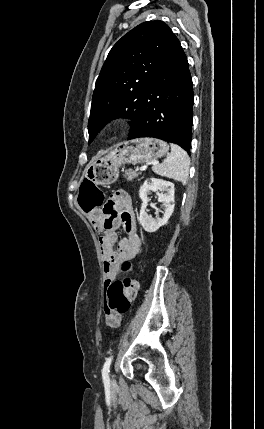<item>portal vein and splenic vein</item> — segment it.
<instances>
[{
	"mask_svg": "<svg viewBox=\"0 0 264 429\" xmlns=\"http://www.w3.org/2000/svg\"><path fill=\"white\" fill-rule=\"evenodd\" d=\"M147 167H148L147 165H143V166H141V167L139 168V170H140V171H144V170H146V169H147Z\"/></svg>",
	"mask_w": 264,
	"mask_h": 429,
	"instance_id": "1",
	"label": "portal vein and splenic vein"
}]
</instances>
